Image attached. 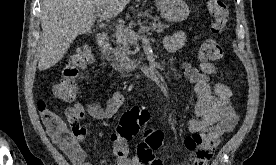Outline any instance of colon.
<instances>
[{"mask_svg":"<svg viewBox=\"0 0 276 165\" xmlns=\"http://www.w3.org/2000/svg\"><path fill=\"white\" fill-rule=\"evenodd\" d=\"M207 10L212 18L211 30L214 37L205 40L199 48V57L206 62H213L221 58L222 47L217 37L222 35L229 19V10L222 0H208ZM92 62V52L87 46L79 48L70 58L59 80L53 86V94L66 102L75 100L79 93V78L81 71ZM38 109L41 115L50 123V136L57 142L68 145L74 142L76 132L69 130L58 115L47 110L44 102H39ZM150 118L147 109L133 107L122 115L120 122L113 134L114 141H130L143 128ZM163 132L158 129H146L138 145L137 151L141 154L153 153L163 144ZM203 138L199 134H192L185 139V146L189 150H196L201 146Z\"/></svg>","mask_w":276,"mask_h":165,"instance_id":"5ec220e1","label":"colon"}]
</instances>
